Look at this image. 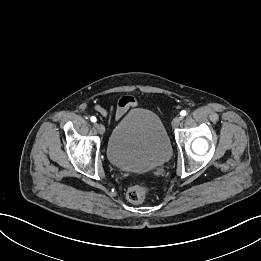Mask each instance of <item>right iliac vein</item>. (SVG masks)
Segmentation results:
<instances>
[{
  "mask_svg": "<svg viewBox=\"0 0 261 261\" xmlns=\"http://www.w3.org/2000/svg\"><path fill=\"white\" fill-rule=\"evenodd\" d=\"M95 127H96L98 133L104 134V132H105V127H104L103 124L96 123V124H95Z\"/></svg>",
  "mask_w": 261,
  "mask_h": 261,
  "instance_id": "obj_1",
  "label": "right iliac vein"
}]
</instances>
